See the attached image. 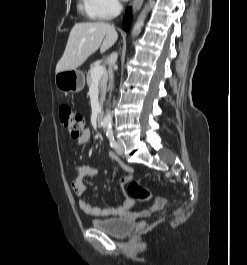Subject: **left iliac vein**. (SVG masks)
<instances>
[{"mask_svg":"<svg viewBox=\"0 0 247 265\" xmlns=\"http://www.w3.org/2000/svg\"><path fill=\"white\" fill-rule=\"evenodd\" d=\"M116 153L118 154V155H123V153H124V148H123V144L120 142V141H118V143H117V147H116Z\"/></svg>","mask_w":247,"mask_h":265,"instance_id":"obj_1","label":"left iliac vein"}]
</instances>
